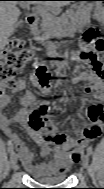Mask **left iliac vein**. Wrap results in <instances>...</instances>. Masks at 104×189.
<instances>
[{
	"mask_svg": "<svg viewBox=\"0 0 104 189\" xmlns=\"http://www.w3.org/2000/svg\"><path fill=\"white\" fill-rule=\"evenodd\" d=\"M88 164H89V157H88V155H84L82 158L83 169H86L88 167Z\"/></svg>",
	"mask_w": 104,
	"mask_h": 189,
	"instance_id": "left-iliac-vein-1",
	"label": "left iliac vein"
}]
</instances>
